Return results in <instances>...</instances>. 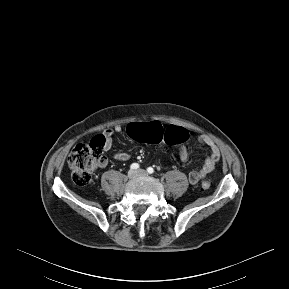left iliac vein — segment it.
Returning <instances> with one entry per match:
<instances>
[{
  "label": "left iliac vein",
  "instance_id": "obj_1",
  "mask_svg": "<svg viewBox=\"0 0 289 289\" xmlns=\"http://www.w3.org/2000/svg\"><path fill=\"white\" fill-rule=\"evenodd\" d=\"M137 174L140 175V176H146L147 175V172L143 169H140L137 171Z\"/></svg>",
  "mask_w": 289,
  "mask_h": 289
}]
</instances>
